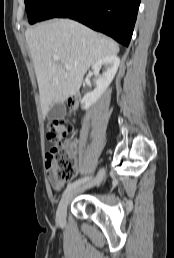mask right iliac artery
<instances>
[{"instance_id": "82829eb1", "label": "right iliac artery", "mask_w": 174, "mask_h": 258, "mask_svg": "<svg viewBox=\"0 0 174 258\" xmlns=\"http://www.w3.org/2000/svg\"><path fill=\"white\" fill-rule=\"evenodd\" d=\"M87 180H89V177H84L81 179H78L72 183H69L63 193V195H65L66 193H68L69 191H71L72 189L76 188L77 186L83 184L84 182H86Z\"/></svg>"}]
</instances>
